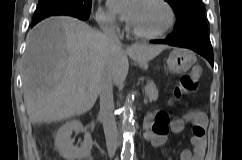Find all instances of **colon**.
I'll return each mask as SVG.
<instances>
[{
    "mask_svg": "<svg viewBox=\"0 0 242 160\" xmlns=\"http://www.w3.org/2000/svg\"><path fill=\"white\" fill-rule=\"evenodd\" d=\"M200 76V67H194L190 73L183 75L175 86L174 95L179 97L181 95L190 94L196 91ZM168 122V114L164 111L158 112L153 123V130L160 133L165 132Z\"/></svg>",
    "mask_w": 242,
    "mask_h": 160,
    "instance_id": "colon-1",
    "label": "colon"
}]
</instances>
